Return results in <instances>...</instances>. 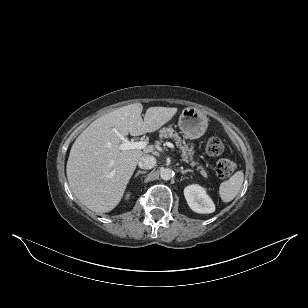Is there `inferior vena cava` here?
I'll return each mask as SVG.
<instances>
[{"instance_id": "obj_1", "label": "inferior vena cava", "mask_w": 308, "mask_h": 308, "mask_svg": "<svg viewBox=\"0 0 308 308\" xmlns=\"http://www.w3.org/2000/svg\"><path fill=\"white\" fill-rule=\"evenodd\" d=\"M156 165V159L152 155H143L139 161L138 166L141 169L149 170L152 169Z\"/></svg>"}]
</instances>
